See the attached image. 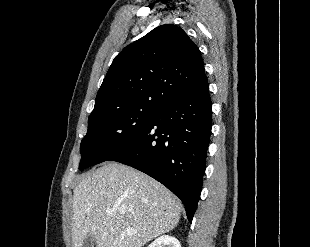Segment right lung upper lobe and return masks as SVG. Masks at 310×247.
I'll use <instances>...</instances> for the list:
<instances>
[{"label": "right lung upper lobe", "mask_w": 310, "mask_h": 247, "mask_svg": "<svg viewBox=\"0 0 310 247\" xmlns=\"http://www.w3.org/2000/svg\"><path fill=\"white\" fill-rule=\"evenodd\" d=\"M207 82L196 44L182 28L161 25L115 57L89 119L125 108L158 110Z\"/></svg>", "instance_id": "1"}]
</instances>
